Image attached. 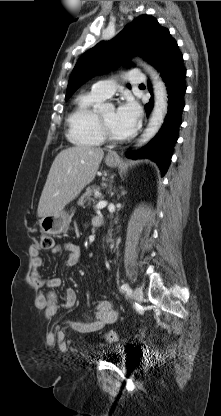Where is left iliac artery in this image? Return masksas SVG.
I'll list each match as a JSON object with an SVG mask.
<instances>
[{
    "mask_svg": "<svg viewBox=\"0 0 221 416\" xmlns=\"http://www.w3.org/2000/svg\"><path fill=\"white\" fill-rule=\"evenodd\" d=\"M121 290L124 291V292H130V287H129L128 284H123L121 286Z\"/></svg>",
    "mask_w": 221,
    "mask_h": 416,
    "instance_id": "44dca946",
    "label": "left iliac artery"
}]
</instances>
